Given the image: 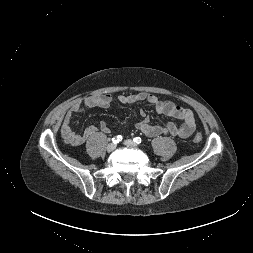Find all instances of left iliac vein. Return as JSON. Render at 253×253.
Here are the masks:
<instances>
[{
    "label": "left iliac vein",
    "mask_w": 253,
    "mask_h": 253,
    "mask_svg": "<svg viewBox=\"0 0 253 253\" xmlns=\"http://www.w3.org/2000/svg\"><path fill=\"white\" fill-rule=\"evenodd\" d=\"M124 144H125L126 146H128V147H136V146H137V144H136L134 141H132L131 139L125 140V141H124Z\"/></svg>",
    "instance_id": "4c4485c4"
}]
</instances>
